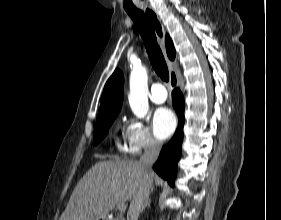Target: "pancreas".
<instances>
[{
  "instance_id": "1",
  "label": "pancreas",
  "mask_w": 281,
  "mask_h": 220,
  "mask_svg": "<svg viewBox=\"0 0 281 220\" xmlns=\"http://www.w3.org/2000/svg\"><path fill=\"white\" fill-rule=\"evenodd\" d=\"M114 220H123V218H122V217H117V218L114 219Z\"/></svg>"
}]
</instances>
